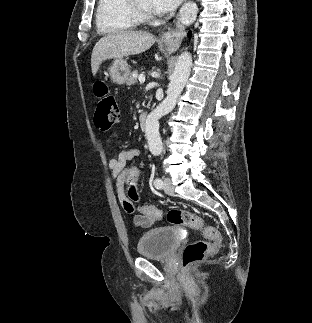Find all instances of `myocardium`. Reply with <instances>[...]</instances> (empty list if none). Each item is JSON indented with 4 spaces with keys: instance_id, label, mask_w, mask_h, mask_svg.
<instances>
[{
    "instance_id": "1",
    "label": "myocardium",
    "mask_w": 312,
    "mask_h": 323,
    "mask_svg": "<svg viewBox=\"0 0 312 323\" xmlns=\"http://www.w3.org/2000/svg\"><path fill=\"white\" fill-rule=\"evenodd\" d=\"M136 13L138 14V15H141L142 13H143V10L141 9V8H138L137 10H136ZM149 17V14L147 13V12H144L143 14H142V16H141V19H147Z\"/></svg>"
}]
</instances>
